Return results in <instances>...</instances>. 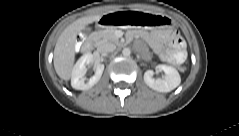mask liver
<instances>
[{
  "label": "liver",
  "mask_w": 239,
  "mask_h": 136,
  "mask_svg": "<svg viewBox=\"0 0 239 136\" xmlns=\"http://www.w3.org/2000/svg\"><path fill=\"white\" fill-rule=\"evenodd\" d=\"M100 19L101 15L79 18L67 26L59 36L54 49L53 62L55 71L61 79L68 81L72 75L78 33Z\"/></svg>",
  "instance_id": "6515ba94"
}]
</instances>
